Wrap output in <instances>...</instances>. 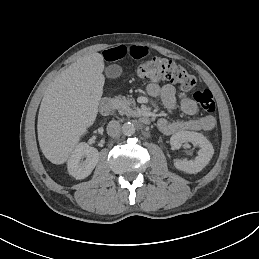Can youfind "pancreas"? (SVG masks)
I'll return each instance as SVG.
<instances>
[{
    "instance_id": "obj_1",
    "label": "pancreas",
    "mask_w": 259,
    "mask_h": 259,
    "mask_svg": "<svg viewBox=\"0 0 259 259\" xmlns=\"http://www.w3.org/2000/svg\"><path fill=\"white\" fill-rule=\"evenodd\" d=\"M115 103L118 106V112L119 114L123 115L125 114L127 117H139V113L132 110L131 106L134 103V100H127L126 97L123 96H117L115 98Z\"/></svg>"
}]
</instances>
